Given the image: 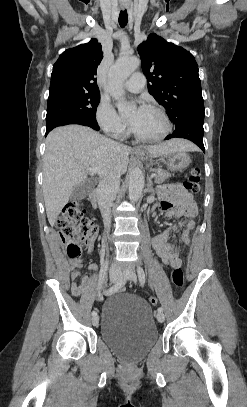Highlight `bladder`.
Here are the masks:
<instances>
[{
  "label": "bladder",
  "instance_id": "obj_1",
  "mask_svg": "<svg viewBox=\"0 0 247 407\" xmlns=\"http://www.w3.org/2000/svg\"><path fill=\"white\" fill-rule=\"evenodd\" d=\"M101 313L102 341L125 361L142 360L157 343L152 309L141 297L128 293L111 296Z\"/></svg>",
  "mask_w": 247,
  "mask_h": 407
}]
</instances>
